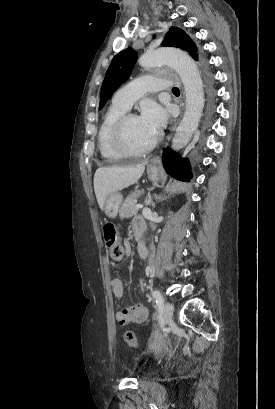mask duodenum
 Wrapping results in <instances>:
<instances>
[{
    "label": "duodenum",
    "mask_w": 275,
    "mask_h": 409,
    "mask_svg": "<svg viewBox=\"0 0 275 409\" xmlns=\"http://www.w3.org/2000/svg\"><path fill=\"white\" fill-rule=\"evenodd\" d=\"M133 230H134V236L136 240H139L143 236L144 231H145V226L143 222L136 223L133 226Z\"/></svg>",
    "instance_id": "duodenum-1"
}]
</instances>
